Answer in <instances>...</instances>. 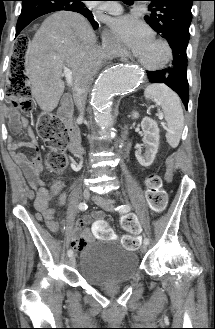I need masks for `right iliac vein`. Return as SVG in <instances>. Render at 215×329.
<instances>
[{
	"instance_id": "obj_1",
	"label": "right iliac vein",
	"mask_w": 215,
	"mask_h": 329,
	"mask_svg": "<svg viewBox=\"0 0 215 329\" xmlns=\"http://www.w3.org/2000/svg\"><path fill=\"white\" fill-rule=\"evenodd\" d=\"M82 196L85 200H88L90 197H91V193L89 190H84L83 193H82ZM69 264L70 266L74 267L75 264H76V259H75V256H71L70 259H69Z\"/></svg>"
}]
</instances>
